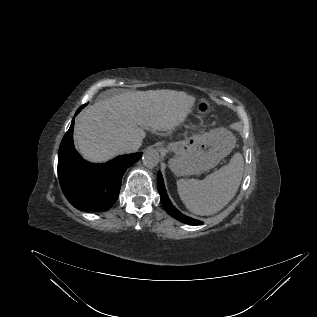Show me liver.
<instances>
[{
	"mask_svg": "<svg viewBox=\"0 0 317 317\" xmlns=\"http://www.w3.org/2000/svg\"><path fill=\"white\" fill-rule=\"evenodd\" d=\"M196 99L182 91L126 92L95 102L75 120L74 140L91 162H106L122 154L124 142L142 144L144 129L170 131L182 124Z\"/></svg>",
	"mask_w": 317,
	"mask_h": 317,
	"instance_id": "obj_1",
	"label": "liver"
}]
</instances>
